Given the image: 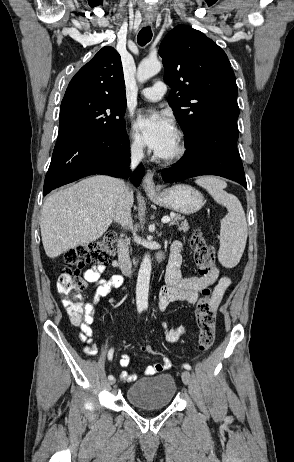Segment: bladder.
<instances>
[{
  "label": "bladder",
  "mask_w": 294,
  "mask_h": 462,
  "mask_svg": "<svg viewBox=\"0 0 294 462\" xmlns=\"http://www.w3.org/2000/svg\"><path fill=\"white\" fill-rule=\"evenodd\" d=\"M177 393L174 377L168 373L141 379L126 391V399L143 409H160L169 406Z\"/></svg>",
  "instance_id": "obj_1"
}]
</instances>
